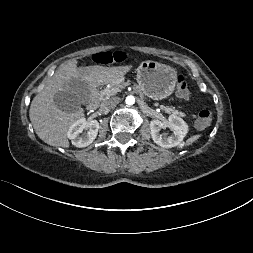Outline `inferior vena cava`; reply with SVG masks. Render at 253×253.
Instances as JSON below:
<instances>
[{"label": "inferior vena cava", "instance_id": "602c4592", "mask_svg": "<svg viewBox=\"0 0 253 253\" xmlns=\"http://www.w3.org/2000/svg\"><path fill=\"white\" fill-rule=\"evenodd\" d=\"M119 102H120V98L118 97L110 98V99L105 100L101 104V108L108 110V109L114 108Z\"/></svg>", "mask_w": 253, "mask_h": 253}]
</instances>
